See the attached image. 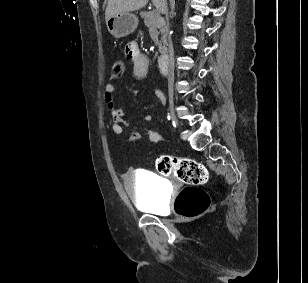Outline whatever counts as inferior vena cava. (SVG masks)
Instances as JSON below:
<instances>
[{
	"instance_id": "obj_1",
	"label": "inferior vena cava",
	"mask_w": 308,
	"mask_h": 283,
	"mask_svg": "<svg viewBox=\"0 0 308 283\" xmlns=\"http://www.w3.org/2000/svg\"><path fill=\"white\" fill-rule=\"evenodd\" d=\"M164 13H168V9L166 4H164L163 10ZM169 75H168V85L169 87L173 84L174 82V74H173V64H172V57H173V46L175 44L174 40V35L170 34L169 35Z\"/></svg>"
}]
</instances>
